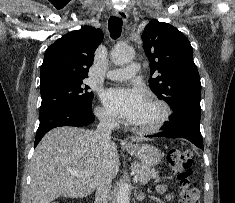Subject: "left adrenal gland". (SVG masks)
Instances as JSON below:
<instances>
[{
    "label": "left adrenal gland",
    "mask_w": 235,
    "mask_h": 203,
    "mask_svg": "<svg viewBox=\"0 0 235 203\" xmlns=\"http://www.w3.org/2000/svg\"><path fill=\"white\" fill-rule=\"evenodd\" d=\"M135 196H136V198L139 200V201H142L143 199H144V197H145V194L144 193H142V192H137V188L135 189Z\"/></svg>",
    "instance_id": "obj_1"
}]
</instances>
